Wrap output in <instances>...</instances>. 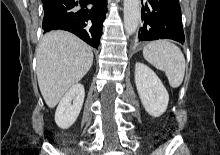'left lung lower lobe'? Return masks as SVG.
Wrapping results in <instances>:
<instances>
[{
    "label": "left lung lower lobe",
    "instance_id": "0a47b994",
    "mask_svg": "<svg viewBox=\"0 0 220 155\" xmlns=\"http://www.w3.org/2000/svg\"><path fill=\"white\" fill-rule=\"evenodd\" d=\"M141 17L143 24L138 35L139 41L168 38L185 42L178 0H146Z\"/></svg>",
    "mask_w": 220,
    "mask_h": 155
}]
</instances>
